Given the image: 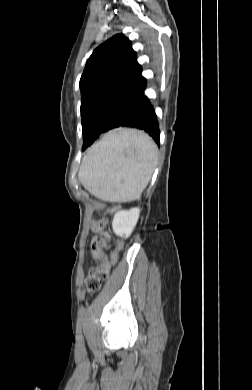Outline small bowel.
I'll use <instances>...</instances> for the list:
<instances>
[{
    "mask_svg": "<svg viewBox=\"0 0 252 390\" xmlns=\"http://www.w3.org/2000/svg\"><path fill=\"white\" fill-rule=\"evenodd\" d=\"M94 228H95V230H97L96 224H94ZM95 259H96V258H95Z\"/></svg>",
    "mask_w": 252,
    "mask_h": 390,
    "instance_id": "small-bowel-1",
    "label": "small bowel"
}]
</instances>
